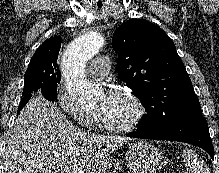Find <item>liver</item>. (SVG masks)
<instances>
[{"mask_svg":"<svg viewBox=\"0 0 219 173\" xmlns=\"http://www.w3.org/2000/svg\"><path fill=\"white\" fill-rule=\"evenodd\" d=\"M128 140L82 132L39 95L22 109L7 138L4 173H108L111 152Z\"/></svg>","mask_w":219,"mask_h":173,"instance_id":"liver-1","label":"liver"}]
</instances>
